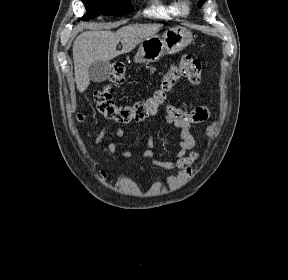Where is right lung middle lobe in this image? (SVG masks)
Masks as SVG:
<instances>
[{"instance_id":"obj_1","label":"right lung middle lobe","mask_w":288,"mask_h":280,"mask_svg":"<svg viewBox=\"0 0 288 280\" xmlns=\"http://www.w3.org/2000/svg\"><path fill=\"white\" fill-rule=\"evenodd\" d=\"M86 7V14L81 20L91 19L100 14L120 16L133 11L129 0H82Z\"/></svg>"}]
</instances>
